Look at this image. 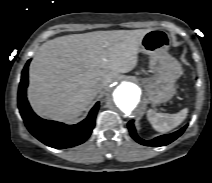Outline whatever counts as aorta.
Listing matches in <instances>:
<instances>
[{
    "instance_id": "1",
    "label": "aorta",
    "mask_w": 212,
    "mask_h": 183,
    "mask_svg": "<svg viewBox=\"0 0 212 183\" xmlns=\"http://www.w3.org/2000/svg\"><path fill=\"white\" fill-rule=\"evenodd\" d=\"M141 90L132 82H122L118 85L109 100L114 107L126 115L131 114L140 102Z\"/></svg>"
}]
</instances>
